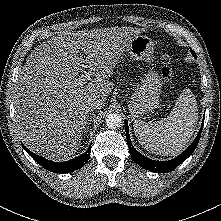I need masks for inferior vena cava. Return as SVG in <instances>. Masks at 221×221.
I'll use <instances>...</instances> for the list:
<instances>
[{"instance_id":"602c4592","label":"inferior vena cava","mask_w":221,"mask_h":221,"mask_svg":"<svg viewBox=\"0 0 221 221\" xmlns=\"http://www.w3.org/2000/svg\"><path fill=\"white\" fill-rule=\"evenodd\" d=\"M103 107V102L99 99L89 100L86 104L87 111H94L101 109Z\"/></svg>"}]
</instances>
